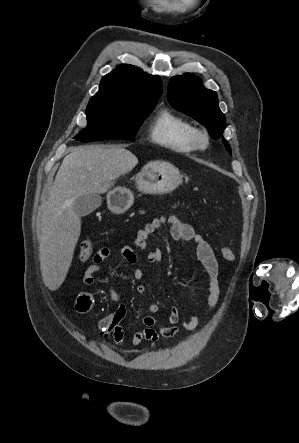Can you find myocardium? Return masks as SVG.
Masks as SVG:
<instances>
[{
	"label": "myocardium",
	"mask_w": 299,
	"mask_h": 443,
	"mask_svg": "<svg viewBox=\"0 0 299 443\" xmlns=\"http://www.w3.org/2000/svg\"><path fill=\"white\" fill-rule=\"evenodd\" d=\"M191 142L195 150H205L209 145V135L206 130L195 128Z\"/></svg>",
	"instance_id": "1"
}]
</instances>
